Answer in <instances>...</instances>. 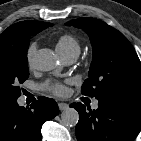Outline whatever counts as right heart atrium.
Masks as SVG:
<instances>
[{
    "mask_svg": "<svg viewBox=\"0 0 141 141\" xmlns=\"http://www.w3.org/2000/svg\"><path fill=\"white\" fill-rule=\"evenodd\" d=\"M36 49H37V45L35 42H31L26 49L25 59L29 69H31L33 66V60H34V55L36 53Z\"/></svg>",
    "mask_w": 141,
    "mask_h": 141,
    "instance_id": "1",
    "label": "right heart atrium"
}]
</instances>
